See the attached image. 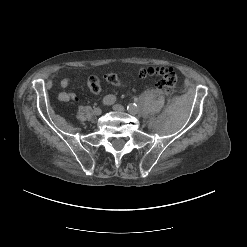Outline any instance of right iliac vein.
Listing matches in <instances>:
<instances>
[{
  "label": "right iliac vein",
  "mask_w": 247,
  "mask_h": 247,
  "mask_svg": "<svg viewBox=\"0 0 247 247\" xmlns=\"http://www.w3.org/2000/svg\"><path fill=\"white\" fill-rule=\"evenodd\" d=\"M102 113V110H101V108H95L94 110H93V114L94 115H96V116H98V115H100Z\"/></svg>",
  "instance_id": "obj_1"
}]
</instances>
